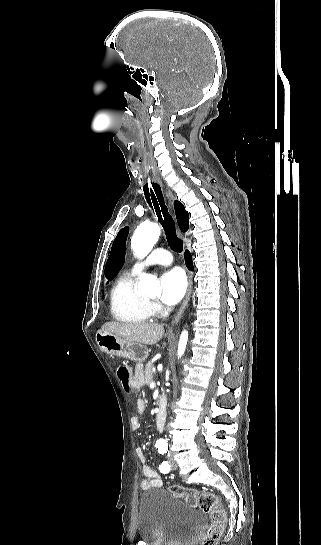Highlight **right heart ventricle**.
<instances>
[{
  "label": "right heart ventricle",
  "mask_w": 321,
  "mask_h": 545,
  "mask_svg": "<svg viewBox=\"0 0 321 545\" xmlns=\"http://www.w3.org/2000/svg\"><path fill=\"white\" fill-rule=\"evenodd\" d=\"M109 307L112 318L122 324H142L156 316L150 306L137 297L134 275L129 272L117 276L110 292Z\"/></svg>",
  "instance_id": "e07e8e85"
}]
</instances>
